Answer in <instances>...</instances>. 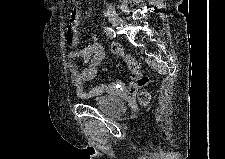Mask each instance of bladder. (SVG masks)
I'll use <instances>...</instances> for the list:
<instances>
[{
	"label": "bladder",
	"instance_id": "bladder-1",
	"mask_svg": "<svg viewBox=\"0 0 225 159\" xmlns=\"http://www.w3.org/2000/svg\"><path fill=\"white\" fill-rule=\"evenodd\" d=\"M85 101L112 115H121L126 110L125 101L121 97L109 96L97 92L87 93Z\"/></svg>",
	"mask_w": 225,
	"mask_h": 159
}]
</instances>
